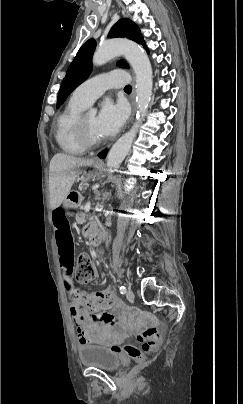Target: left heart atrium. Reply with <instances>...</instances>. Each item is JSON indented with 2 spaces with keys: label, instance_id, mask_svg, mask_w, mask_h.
<instances>
[{
  "label": "left heart atrium",
  "instance_id": "39dd6f15",
  "mask_svg": "<svg viewBox=\"0 0 243 404\" xmlns=\"http://www.w3.org/2000/svg\"><path fill=\"white\" fill-rule=\"evenodd\" d=\"M125 114L120 105L105 100L95 120V133L99 139H108L115 135L122 126Z\"/></svg>",
  "mask_w": 243,
  "mask_h": 404
}]
</instances>
